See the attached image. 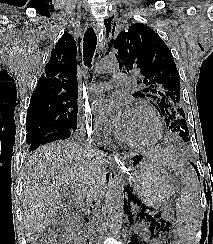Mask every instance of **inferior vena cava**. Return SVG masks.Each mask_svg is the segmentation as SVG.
<instances>
[{
	"mask_svg": "<svg viewBox=\"0 0 213 244\" xmlns=\"http://www.w3.org/2000/svg\"><path fill=\"white\" fill-rule=\"evenodd\" d=\"M91 204H92V201L91 200H86V206H91Z\"/></svg>",
	"mask_w": 213,
	"mask_h": 244,
	"instance_id": "602c4592",
	"label": "inferior vena cava"
}]
</instances>
